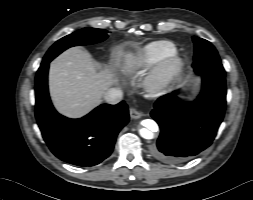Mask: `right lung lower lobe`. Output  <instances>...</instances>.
I'll list each match as a JSON object with an SVG mask.
<instances>
[{
  "label": "right lung lower lobe",
  "instance_id": "right-lung-lower-lobe-1",
  "mask_svg": "<svg viewBox=\"0 0 253 200\" xmlns=\"http://www.w3.org/2000/svg\"><path fill=\"white\" fill-rule=\"evenodd\" d=\"M43 60L35 79V115L42 136L59 159L78 166H94L112 152L119 131L128 123L125 102L102 104L80 119L66 118L54 109L47 86L49 63Z\"/></svg>",
  "mask_w": 253,
  "mask_h": 200
}]
</instances>
